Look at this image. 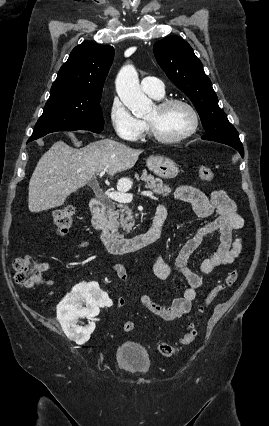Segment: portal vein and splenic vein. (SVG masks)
I'll list each match as a JSON object with an SVG mask.
<instances>
[{
  "mask_svg": "<svg viewBox=\"0 0 269 426\" xmlns=\"http://www.w3.org/2000/svg\"><path fill=\"white\" fill-rule=\"evenodd\" d=\"M105 172H106V170L101 171L100 174H99L100 177L103 176L105 174ZM141 194L144 195V196H149V197L153 196V193L151 191H143V192H141ZM105 195L108 198H110V199H112L116 202H120V203H129L133 199V195L126 193L125 190L123 191L121 189L120 184H119L118 191H106Z\"/></svg>",
  "mask_w": 269,
  "mask_h": 426,
  "instance_id": "18ae733b",
  "label": "portal vein and splenic vein"
}]
</instances>
